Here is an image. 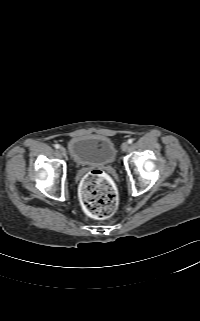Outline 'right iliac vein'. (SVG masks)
<instances>
[{"label": "right iliac vein", "mask_w": 200, "mask_h": 321, "mask_svg": "<svg viewBox=\"0 0 200 321\" xmlns=\"http://www.w3.org/2000/svg\"><path fill=\"white\" fill-rule=\"evenodd\" d=\"M59 151H60V153H61L63 156L66 155V150H65L64 147H60Z\"/></svg>", "instance_id": "1"}]
</instances>
